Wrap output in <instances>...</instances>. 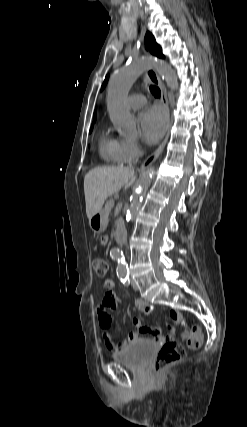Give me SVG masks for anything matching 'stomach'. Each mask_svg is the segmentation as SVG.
I'll use <instances>...</instances> for the list:
<instances>
[{
    "mask_svg": "<svg viewBox=\"0 0 247 427\" xmlns=\"http://www.w3.org/2000/svg\"><path fill=\"white\" fill-rule=\"evenodd\" d=\"M107 223L108 217L107 214L103 212V210L96 213L89 219V225L95 233L103 232L107 227Z\"/></svg>",
    "mask_w": 247,
    "mask_h": 427,
    "instance_id": "obj_1",
    "label": "stomach"
}]
</instances>
